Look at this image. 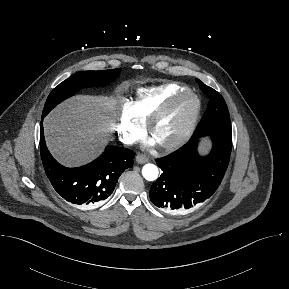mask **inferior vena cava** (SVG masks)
Listing matches in <instances>:
<instances>
[{
  "instance_id": "602c4592",
  "label": "inferior vena cava",
  "mask_w": 289,
  "mask_h": 289,
  "mask_svg": "<svg viewBox=\"0 0 289 289\" xmlns=\"http://www.w3.org/2000/svg\"><path fill=\"white\" fill-rule=\"evenodd\" d=\"M119 140L124 144H132L134 142V140L128 136H120Z\"/></svg>"
}]
</instances>
